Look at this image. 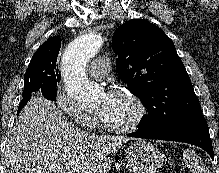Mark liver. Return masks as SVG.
I'll return each instance as SVG.
<instances>
[{
	"mask_svg": "<svg viewBox=\"0 0 219 173\" xmlns=\"http://www.w3.org/2000/svg\"><path fill=\"white\" fill-rule=\"evenodd\" d=\"M129 139L93 135L39 95L20 111L4 151V173H108L111 153Z\"/></svg>",
	"mask_w": 219,
	"mask_h": 173,
	"instance_id": "1",
	"label": "liver"
}]
</instances>
